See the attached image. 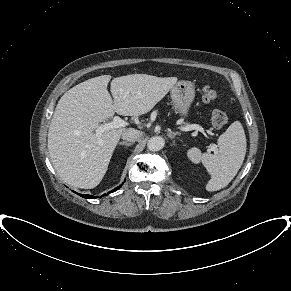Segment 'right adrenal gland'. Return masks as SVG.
<instances>
[{
  "instance_id": "2a0ac1e0",
  "label": "right adrenal gland",
  "mask_w": 291,
  "mask_h": 291,
  "mask_svg": "<svg viewBox=\"0 0 291 291\" xmlns=\"http://www.w3.org/2000/svg\"><path fill=\"white\" fill-rule=\"evenodd\" d=\"M132 144H133V143L126 142V141L119 142V145H125V146H131Z\"/></svg>"
}]
</instances>
